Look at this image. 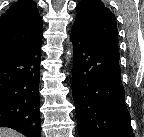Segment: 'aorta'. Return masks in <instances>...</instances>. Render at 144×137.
Returning <instances> with one entry per match:
<instances>
[{
  "label": "aorta",
  "instance_id": "762f6f07",
  "mask_svg": "<svg viewBox=\"0 0 144 137\" xmlns=\"http://www.w3.org/2000/svg\"><path fill=\"white\" fill-rule=\"evenodd\" d=\"M66 64H69L73 60V46L72 43L69 44L65 53Z\"/></svg>",
  "mask_w": 144,
  "mask_h": 137
}]
</instances>
